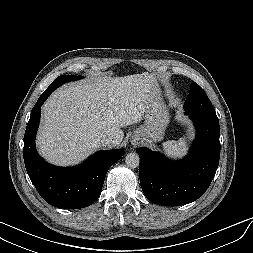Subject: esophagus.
Wrapping results in <instances>:
<instances>
[{"instance_id":"esophagus-1","label":"esophagus","mask_w":253,"mask_h":253,"mask_svg":"<svg viewBox=\"0 0 253 253\" xmlns=\"http://www.w3.org/2000/svg\"><path fill=\"white\" fill-rule=\"evenodd\" d=\"M133 142V145H138L140 142H139V139H135L132 141Z\"/></svg>"}]
</instances>
